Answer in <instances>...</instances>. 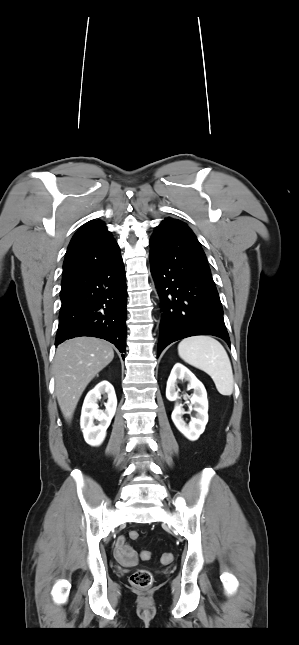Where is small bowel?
<instances>
[{
  "instance_id": "obj_1",
  "label": "small bowel",
  "mask_w": 299,
  "mask_h": 645,
  "mask_svg": "<svg viewBox=\"0 0 299 645\" xmlns=\"http://www.w3.org/2000/svg\"><path fill=\"white\" fill-rule=\"evenodd\" d=\"M114 555L117 561L127 567L135 566L138 562L136 552L129 546L125 536H119L115 542Z\"/></svg>"
}]
</instances>
